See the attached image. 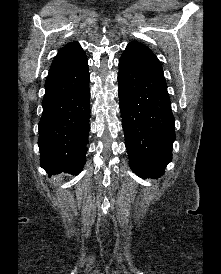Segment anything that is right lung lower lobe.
<instances>
[{
    "mask_svg": "<svg viewBox=\"0 0 221 274\" xmlns=\"http://www.w3.org/2000/svg\"><path fill=\"white\" fill-rule=\"evenodd\" d=\"M87 58L48 74L39 122L40 165L49 175H78L85 164L90 130Z\"/></svg>",
    "mask_w": 221,
    "mask_h": 274,
    "instance_id": "obj_1",
    "label": "right lung lower lobe"
}]
</instances>
